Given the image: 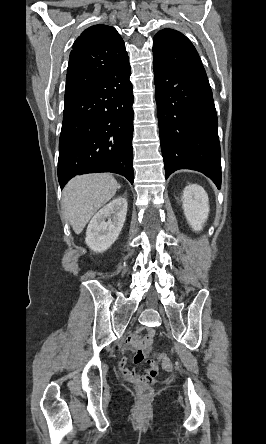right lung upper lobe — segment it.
Here are the masks:
<instances>
[{
  "label": "right lung upper lobe",
  "mask_w": 266,
  "mask_h": 444,
  "mask_svg": "<svg viewBox=\"0 0 266 444\" xmlns=\"http://www.w3.org/2000/svg\"><path fill=\"white\" fill-rule=\"evenodd\" d=\"M66 76L65 102H68L106 77L128 59L125 44L112 26L93 25L73 44Z\"/></svg>",
  "instance_id": "1"
}]
</instances>
